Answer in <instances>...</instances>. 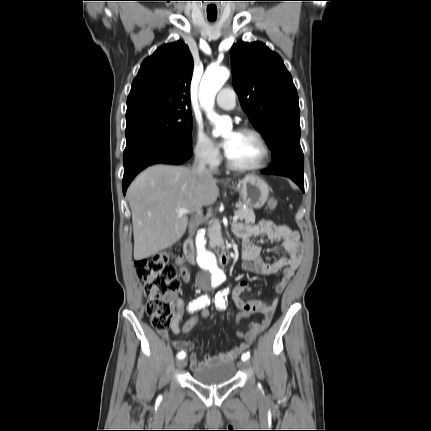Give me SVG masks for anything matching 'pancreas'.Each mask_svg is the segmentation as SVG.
<instances>
[{
  "instance_id": "obj_1",
  "label": "pancreas",
  "mask_w": 431,
  "mask_h": 431,
  "mask_svg": "<svg viewBox=\"0 0 431 431\" xmlns=\"http://www.w3.org/2000/svg\"><path fill=\"white\" fill-rule=\"evenodd\" d=\"M237 211L236 214L239 216L240 220H244L246 223L255 222V214L251 208L244 206L241 202L236 204ZM208 236L212 246H216L221 242L220 226L215 223L212 227L208 229Z\"/></svg>"
}]
</instances>
